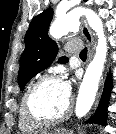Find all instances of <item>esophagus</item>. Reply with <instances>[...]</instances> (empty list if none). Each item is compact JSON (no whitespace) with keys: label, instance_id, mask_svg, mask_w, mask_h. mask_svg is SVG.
<instances>
[{"label":"esophagus","instance_id":"obj_1","mask_svg":"<svg viewBox=\"0 0 116 134\" xmlns=\"http://www.w3.org/2000/svg\"><path fill=\"white\" fill-rule=\"evenodd\" d=\"M81 33H82V36L86 39V41L88 43V60H90L93 55L94 37L85 21L83 22V25L81 28Z\"/></svg>","mask_w":116,"mask_h":134}]
</instances>
